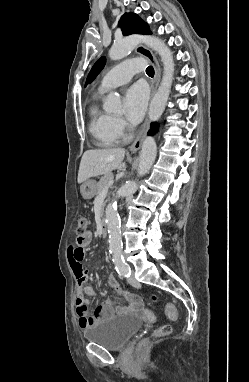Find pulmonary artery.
I'll return each mask as SVG.
<instances>
[{
  "instance_id": "obj_1",
  "label": "pulmonary artery",
  "mask_w": 249,
  "mask_h": 382,
  "mask_svg": "<svg viewBox=\"0 0 249 382\" xmlns=\"http://www.w3.org/2000/svg\"><path fill=\"white\" fill-rule=\"evenodd\" d=\"M144 67L145 60L142 58H134L117 64L104 75L99 85V91L106 92L128 83L132 76Z\"/></svg>"
}]
</instances>
